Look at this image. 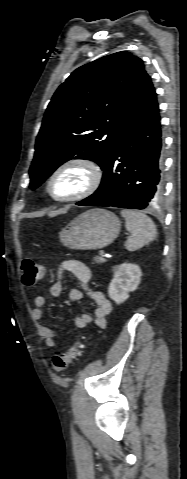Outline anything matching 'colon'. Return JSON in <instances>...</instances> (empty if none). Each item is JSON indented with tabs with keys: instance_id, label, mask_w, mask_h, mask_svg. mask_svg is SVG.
<instances>
[{
	"instance_id": "1",
	"label": "colon",
	"mask_w": 187,
	"mask_h": 479,
	"mask_svg": "<svg viewBox=\"0 0 187 479\" xmlns=\"http://www.w3.org/2000/svg\"><path fill=\"white\" fill-rule=\"evenodd\" d=\"M23 281L28 286L36 285L45 276V266L33 259H25L22 262ZM86 336L77 335L71 345L63 352L56 353L51 359L52 369L64 374L67 368L73 364L82 354V347Z\"/></svg>"
}]
</instances>
